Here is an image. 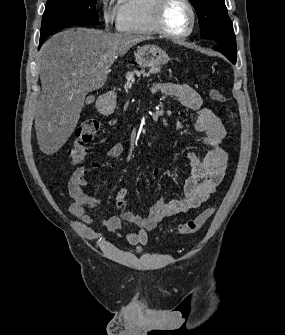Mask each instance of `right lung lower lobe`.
<instances>
[{
  "mask_svg": "<svg viewBox=\"0 0 285 335\" xmlns=\"http://www.w3.org/2000/svg\"><path fill=\"white\" fill-rule=\"evenodd\" d=\"M45 40H41L40 39V46L42 45V43L44 42ZM40 46H39V48H40Z\"/></svg>",
  "mask_w": 285,
  "mask_h": 335,
  "instance_id": "right-lung-lower-lobe-1",
  "label": "right lung lower lobe"
}]
</instances>
